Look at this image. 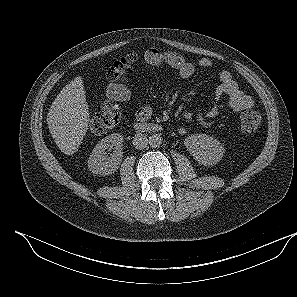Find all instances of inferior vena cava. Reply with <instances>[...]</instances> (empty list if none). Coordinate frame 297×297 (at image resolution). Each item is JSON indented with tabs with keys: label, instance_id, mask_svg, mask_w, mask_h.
Listing matches in <instances>:
<instances>
[{
	"label": "inferior vena cava",
	"instance_id": "obj_1",
	"mask_svg": "<svg viewBox=\"0 0 297 297\" xmlns=\"http://www.w3.org/2000/svg\"><path fill=\"white\" fill-rule=\"evenodd\" d=\"M132 143H133V146L136 148V149H139V150H142L144 149L147 144H148V139H147V136L143 133H137L135 134V136L133 137V140H132Z\"/></svg>",
	"mask_w": 297,
	"mask_h": 297
}]
</instances>
